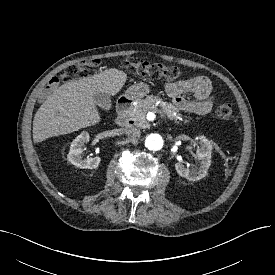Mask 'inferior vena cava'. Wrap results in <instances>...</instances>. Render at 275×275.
<instances>
[{
    "label": "inferior vena cava",
    "mask_w": 275,
    "mask_h": 275,
    "mask_svg": "<svg viewBox=\"0 0 275 275\" xmlns=\"http://www.w3.org/2000/svg\"><path fill=\"white\" fill-rule=\"evenodd\" d=\"M125 134L131 139L136 140L140 137V128L134 125H128L125 128Z\"/></svg>",
    "instance_id": "inferior-vena-cava-1"
}]
</instances>
